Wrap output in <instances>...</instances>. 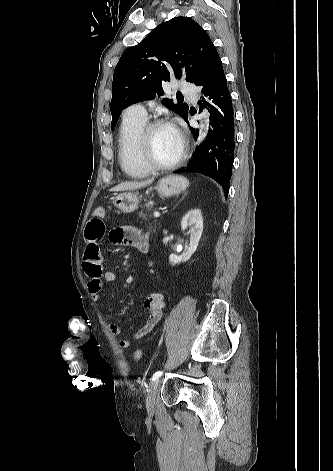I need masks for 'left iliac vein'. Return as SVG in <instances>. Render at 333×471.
<instances>
[{
    "mask_svg": "<svg viewBox=\"0 0 333 471\" xmlns=\"http://www.w3.org/2000/svg\"><path fill=\"white\" fill-rule=\"evenodd\" d=\"M158 386H159V380L157 379L151 382L148 389L146 407H147L148 412L150 413L154 411V405H155L156 394L158 391Z\"/></svg>",
    "mask_w": 333,
    "mask_h": 471,
    "instance_id": "4c4485c4",
    "label": "left iliac vein"
}]
</instances>
